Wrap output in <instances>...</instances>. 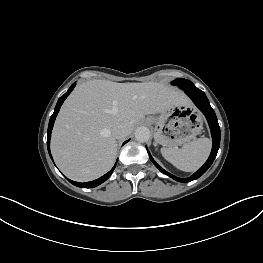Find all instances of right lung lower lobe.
<instances>
[{
    "mask_svg": "<svg viewBox=\"0 0 263 263\" xmlns=\"http://www.w3.org/2000/svg\"><path fill=\"white\" fill-rule=\"evenodd\" d=\"M76 83H74L69 89L68 91L59 98L58 102H57V105L55 107V110H54V113L53 115L51 116L50 118V121H49V126H48V136H47V148H48V152H49V155L52 159V156H51V153H50V138H51V131H52V128H53V124H54V121H55V118L59 112V109L61 107V105L63 104L64 100L67 98V96L71 93V91L74 89ZM127 141L124 142V144L126 143ZM53 160V159H52ZM116 164L114 165V167L108 172L106 173L105 175H103L102 177H100L99 179H96L94 181H90V182H85V183H79V182H75V181H72V180H69L73 185L75 186H78V187H83V188H93V187H96L98 185H100L101 183H103L104 181H106L110 175L112 174L114 168L116 167Z\"/></svg>",
    "mask_w": 263,
    "mask_h": 263,
    "instance_id": "right-lung-lower-lobe-1",
    "label": "right lung lower lobe"
}]
</instances>
